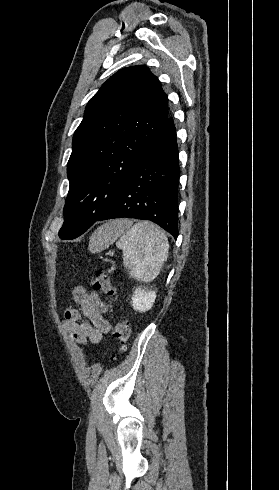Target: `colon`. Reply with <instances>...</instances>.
I'll use <instances>...</instances> for the list:
<instances>
[{"label": "colon", "mask_w": 279, "mask_h": 490, "mask_svg": "<svg viewBox=\"0 0 279 490\" xmlns=\"http://www.w3.org/2000/svg\"><path fill=\"white\" fill-rule=\"evenodd\" d=\"M91 283L95 290L107 296H115L116 289L107 271L97 269L90 275ZM113 336L120 351L125 350V346L131 339L130 324L127 320L118 321L114 326Z\"/></svg>", "instance_id": "5ec220e1"}]
</instances>
